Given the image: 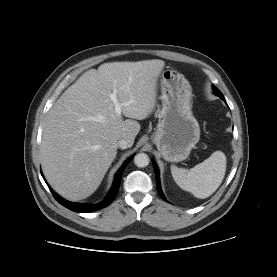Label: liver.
Returning <instances> with one entry per match:
<instances>
[{
	"instance_id": "1",
	"label": "liver",
	"mask_w": 277,
	"mask_h": 277,
	"mask_svg": "<svg viewBox=\"0 0 277 277\" xmlns=\"http://www.w3.org/2000/svg\"><path fill=\"white\" fill-rule=\"evenodd\" d=\"M165 62H111L86 71L54 103L41 143L43 173L62 197L78 201L92 195L116 157L121 139L133 145L141 127L136 120L154 110L157 81ZM116 90L123 120L110 94ZM136 119V120H133Z\"/></svg>"
}]
</instances>
